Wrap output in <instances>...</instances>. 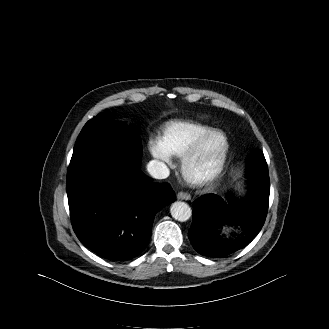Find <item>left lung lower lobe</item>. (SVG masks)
Instances as JSON below:
<instances>
[{
	"instance_id": "obj_1",
	"label": "left lung lower lobe",
	"mask_w": 329,
	"mask_h": 329,
	"mask_svg": "<svg viewBox=\"0 0 329 329\" xmlns=\"http://www.w3.org/2000/svg\"><path fill=\"white\" fill-rule=\"evenodd\" d=\"M251 191L244 202L227 204L215 194L194 201L193 220L188 236L194 249L203 256L223 257L247 246L261 230L267 215L270 181L267 164L249 165ZM225 227L237 230L226 238Z\"/></svg>"
}]
</instances>
